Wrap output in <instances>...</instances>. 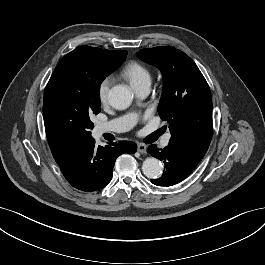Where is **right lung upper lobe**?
Returning <instances> with one entry per match:
<instances>
[{"instance_id":"cb5924a9","label":"right lung upper lobe","mask_w":265,"mask_h":265,"mask_svg":"<svg viewBox=\"0 0 265 265\" xmlns=\"http://www.w3.org/2000/svg\"><path fill=\"white\" fill-rule=\"evenodd\" d=\"M72 150V149H71ZM70 150H68V151H65V152H61V153H53V156H54V158L55 159H58V158H61L62 156H64V155H66L68 152H69Z\"/></svg>"}]
</instances>
